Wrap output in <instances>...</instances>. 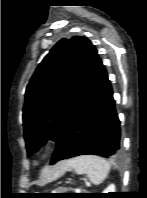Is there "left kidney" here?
<instances>
[{"label":"left kidney","mask_w":147,"mask_h":198,"mask_svg":"<svg viewBox=\"0 0 147 198\" xmlns=\"http://www.w3.org/2000/svg\"><path fill=\"white\" fill-rule=\"evenodd\" d=\"M108 192H115V185H110L108 186L103 193H108Z\"/></svg>","instance_id":"obj_1"}]
</instances>
